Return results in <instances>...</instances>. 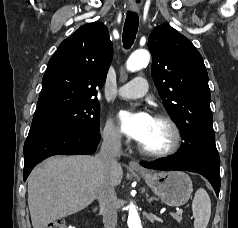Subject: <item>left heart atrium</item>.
<instances>
[{"label":"left heart atrium","mask_w":238,"mask_h":228,"mask_svg":"<svg viewBox=\"0 0 238 228\" xmlns=\"http://www.w3.org/2000/svg\"><path fill=\"white\" fill-rule=\"evenodd\" d=\"M119 121L122 131L128 137L140 142L146 136L153 118L146 111H122L119 114Z\"/></svg>","instance_id":"1"}]
</instances>
